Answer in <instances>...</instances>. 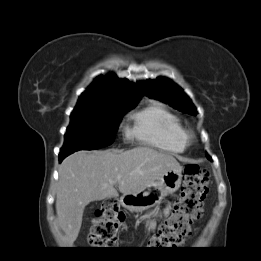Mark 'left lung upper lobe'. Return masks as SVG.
Instances as JSON below:
<instances>
[{
	"mask_svg": "<svg viewBox=\"0 0 261 261\" xmlns=\"http://www.w3.org/2000/svg\"><path fill=\"white\" fill-rule=\"evenodd\" d=\"M138 84L144 95L168 103L184 113L191 115L197 114V111L189 97L184 94L180 87L169 79L159 77L156 80H146ZM206 156L209 160H212L210 156Z\"/></svg>",
	"mask_w": 261,
	"mask_h": 261,
	"instance_id": "obj_1",
	"label": "left lung upper lobe"
}]
</instances>
